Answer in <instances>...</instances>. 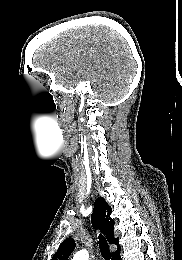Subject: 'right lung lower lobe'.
Returning a JSON list of instances; mask_svg holds the SVG:
<instances>
[{
	"mask_svg": "<svg viewBox=\"0 0 182 260\" xmlns=\"http://www.w3.org/2000/svg\"><path fill=\"white\" fill-rule=\"evenodd\" d=\"M112 260H122L120 256V251L112 254Z\"/></svg>",
	"mask_w": 182,
	"mask_h": 260,
	"instance_id": "right-lung-lower-lobe-1",
	"label": "right lung lower lobe"
}]
</instances>
